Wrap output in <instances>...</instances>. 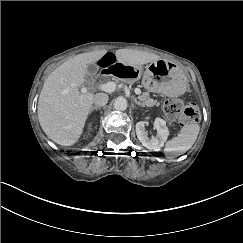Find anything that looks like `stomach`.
I'll return each instance as SVG.
<instances>
[{"instance_id":"obj_1","label":"stomach","mask_w":243,"mask_h":243,"mask_svg":"<svg viewBox=\"0 0 243 243\" xmlns=\"http://www.w3.org/2000/svg\"><path fill=\"white\" fill-rule=\"evenodd\" d=\"M136 69L143 76V86L150 92L176 97L187 89L188 82L183 71L166 60L153 61L144 71L141 66Z\"/></svg>"}]
</instances>
